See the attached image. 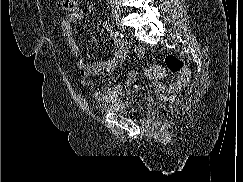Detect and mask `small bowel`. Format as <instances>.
I'll return each mask as SVG.
<instances>
[{
    "label": "small bowel",
    "mask_w": 243,
    "mask_h": 182,
    "mask_svg": "<svg viewBox=\"0 0 243 182\" xmlns=\"http://www.w3.org/2000/svg\"><path fill=\"white\" fill-rule=\"evenodd\" d=\"M84 18V12L81 9H77L75 12L67 14L60 24L62 35L66 38L68 47L72 55L76 59V65L81 75V83L86 87H92L93 82L90 77L95 76L101 72H112L120 67L126 60L130 46L126 41L118 40L112 34L111 25L103 21L101 27L110 33V41L115 46V52L112 57L106 61H98L91 64L86 63L81 58V49L77 44L74 36V24L81 21ZM141 54V51H139ZM133 83V75L131 73L126 74V78L123 82L116 81L106 91H95L93 96L97 101L114 102L117 101L120 95L124 92L128 94Z\"/></svg>",
    "instance_id": "obj_1"
}]
</instances>
